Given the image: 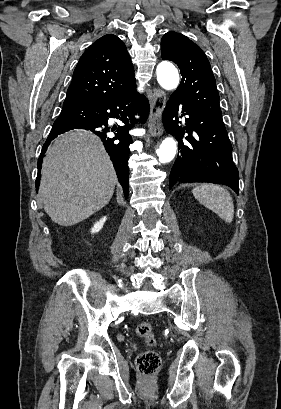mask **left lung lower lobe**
I'll list each match as a JSON object with an SVG mask.
<instances>
[{"mask_svg":"<svg viewBox=\"0 0 281 409\" xmlns=\"http://www.w3.org/2000/svg\"><path fill=\"white\" fill-rule=\"evenodd\" d=\"M182 104L186 127L178 126ZM166 131L178 140V157L169 176V189L176 182H213L230 186L239 193V173L232 160V146L223 120L211 116L174 93L163 113ZM181 123V122H180ZM188 133L184 139L181 135Z\"/></svg>","mask_w":281,"mask_h":409,"instance_id":"obj_1","label":"left lung lower lobe"}]
</instances>
